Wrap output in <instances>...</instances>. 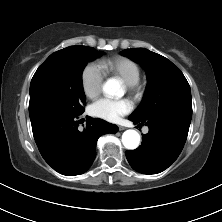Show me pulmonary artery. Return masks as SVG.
Masks as SVG:
<instances>
[{"instance_id": "obj_1", "label": "pulmonary artery", "mask_w": 222, "mask_h": 222, "mask_svg": "<svg viewBox=\"0 0 222 222\" xmlns=\"http://www.w3.org/2000/svg\"><path fill=\"white\" fill-rule=\"evenodd\" d=\"M147 132H148V128H145V129H144V133H147Z\"/></svg>"}]
</instances>
